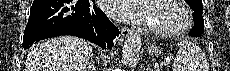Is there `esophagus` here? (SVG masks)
I'll return each mask as SVG.
<instances>
[{
  "label": "esophagus",
  "mask_w": 230,
  "mask_h": 71,
  "mask_svg": "<svg viewBox=\"0 0 230 71\" xmlns=\"http://www.w3.org/2000/svg\"><path fill=\"white\" fill-rule=\"evenodd\" d=\"M132 33L131 29H129L128 27H123L121 29V35L124 37V38H127L130 36V34Z\"/></svg>",
  "instance_id": "obj_1"
}]
</instances>
